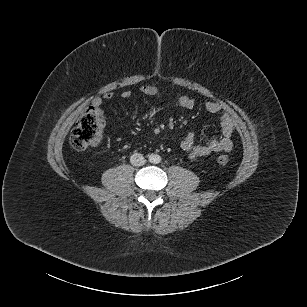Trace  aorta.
Instances as JSON below:
<instances>
[{"instance_id": "aorta-1", "label": "aorta", "mask_w": 307, "mask_h": 307, "mask_svg": "<svg viewBox=\"0 0 307 307\" xmlns=\"http://www.w3.org/2000/svg\"><path fill=\"white\" fill-rule=\"evenodd\" d=\"M161 161V156L159 154L153 153L149 155V162L152 164H158Z\"/></svg>"}]
</instances>
